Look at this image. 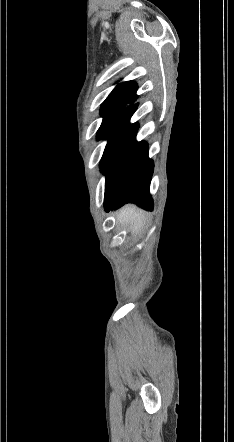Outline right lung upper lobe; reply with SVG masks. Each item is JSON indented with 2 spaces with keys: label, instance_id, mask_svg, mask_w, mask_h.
Wrapping results in <instances>:
<instances>
[{
  "label": "right lung upper lobe",
  "instance_id": "1",
  "mask_svg": "<svg viewBox=\"0 0 234 442\" xmlns=\"http://www.w3.org/2000/svg\"><path fill=\"white\" fill-rule=\"evenodd\" d=\"M137 84L133 81L118 84L101 106L102 116L118 115L137 99Z\"/></svg>",
  "mask_w": 234,
  "mask_h": 442
}]
</instances>
